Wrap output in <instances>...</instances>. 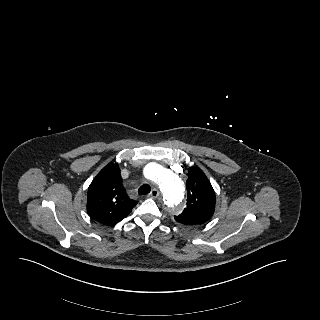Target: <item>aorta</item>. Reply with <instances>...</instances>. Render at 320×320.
<instances>
[{"mask_svg":"<svg viewBox=\"0 0 320 320\" xmlns=\"http://www.w3.org/2000/svg\"><path fill=\"white\" fill-rule=\"evenodd\" d=\"M146 178L156 182L160 187L166 206L173 213L179 214L183 208V184L175 173L156 164L144 168Z\"/></svg>","mask_w":320,"mask_h":320,"instance_id":"762f6f07","label":"aorta"}]
</instances>
